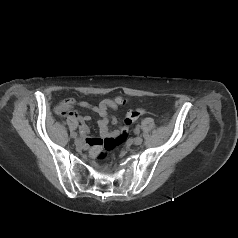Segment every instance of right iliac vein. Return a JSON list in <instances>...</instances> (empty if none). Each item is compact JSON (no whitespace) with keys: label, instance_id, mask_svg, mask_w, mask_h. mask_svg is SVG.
<instances>
[{"label":"right iliac vein","instance_id":"right-iliac-vein-1","mask_svg":"<svg viewBox=\"0 0 238 238\" xmlns=\"http://www.w3.org/2000/svg\"><path fill=\"white\" fill-rule=\"evenodd\" d=\"M75 144L78 147H81L83 145V141L80 138L75 139Z\"/></svg>","mask_w":238,"mask_h":238}]
</instances>
